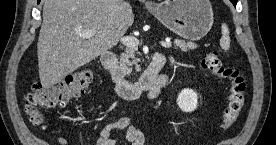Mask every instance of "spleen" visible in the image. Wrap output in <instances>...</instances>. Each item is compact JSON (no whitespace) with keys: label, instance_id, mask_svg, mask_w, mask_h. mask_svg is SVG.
I'll list each match as a JSON object with an SVG mask.
<instances>
[{"label":"spleen","instance_id":"spleen-1","mask_svg":"<svg viewBox=\"0 0 276 145\" xmlns=\"http://www.w3.org/2000/svg\"><path fill=\"white\" fill-rule=\"evenodd\" d=\"M222 37L220 39V46L224 50H228L230 47V36L228 26L223 23L221 26Z\"/></svg>","mask_w":276,"mask_h":145}]
</instances>
